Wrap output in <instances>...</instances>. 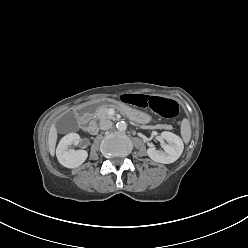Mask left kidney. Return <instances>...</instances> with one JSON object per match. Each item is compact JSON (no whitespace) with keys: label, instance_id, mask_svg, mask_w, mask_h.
Here are the masks:
<instances>
[{"label":"left kidney","instance_id":"5707ae66","mask_svg":"<svg viewBox=\"0 0 248 248\" xmlns=\"http://www.w3.org/2000/svg\"><path fill=\"white\" fill-rule=\"evenodd\" d=\"M161 138L167 143L162 145L164 151L156 150L154 147L147 149L148 156L155 162L169 164L175 162L182 154L184 144L179 136L172 132L164 131Z\"/></svg>","mask_w":248,"mask_h":248}]
</instances>
